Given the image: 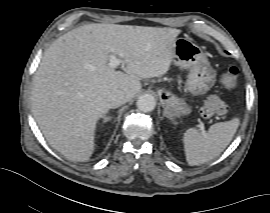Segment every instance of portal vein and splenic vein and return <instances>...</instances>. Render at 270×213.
<instances>
[{"label":"portal vein and splenic vein","mask_w":270,"mask_h":213,"mask_svg":"<svg viewBox=\"0 0 270 213\" xmlns=\"http://www.w3.org/2000/svg\"><path fill=\"white\" fill-rule=\"evenodd\" d=\"M120 63H121V60L120 59L116 58L114 55H110L109 65L112 68H116ZM199 127H200V130L202 132H205V127H204V124L203 123H200Z\"/></svg>","instance_id":"1"}]
</instances>
